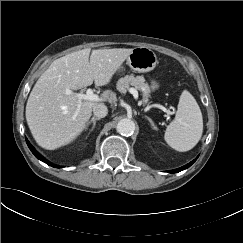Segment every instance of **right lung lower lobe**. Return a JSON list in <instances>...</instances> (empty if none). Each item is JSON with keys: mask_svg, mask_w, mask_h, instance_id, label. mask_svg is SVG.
<instances>
[{"mask_svg": "<svg viewBox=\"0 0 243 243\" xmlns=\"http://www.w3.org/2000/svg\"><path fill=\"white\" fill-rule=\"evenodd\" d=\"M27 145L29 147V149L32 151V153L41 161L45 162L46 164L53 166V167H57L59 168V166H55L51 163H49L48 161H46L42 156L39 155V153H37V151L32 147V145L29 143V141L26 139Z\"/></svg>", "mask_w": 243, "mask_h": 243, "instance_id": "right-lung-lower-lobe-1", "label": "right lung lower lobe"}]
</instances>
